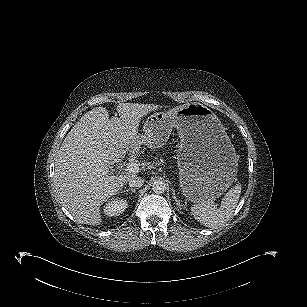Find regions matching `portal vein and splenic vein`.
<instances>
[{"label": "portal vein and splenic vein", "instance_id": "1", "mask_svg": "<svg viewBox=\"0 0 307 307\" xmlns=\"http://www.w3.org/2000/svg\"><path fill=\"white\" fill-rule=\"evenodd\" d=\"M126 170L131 173H137L139 171V164L135 162L127 163Z\"/></svg>", "mask_w": 307, "mask_h": 307}]
</instances>
